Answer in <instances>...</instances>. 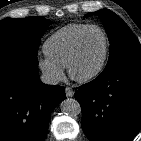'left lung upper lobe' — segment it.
Instances as JSON below:
<instances>
[{
    "label": "left lung upper lobe",
    "instance_id": "left-lung-upper-lobe-1",
    "mask_svg": "<svg viewBox=\"0 0 141 141\" xmlns=\"http://www.w3.org/2000/svg\"><path fill=\"white\" fill-rule=\"evenodd\" d=\"M98 15L110 40V55L105 68L128 60H141V46L127 24L114 12L101 9L86 16ZM85 16V17H86Z\"/></svg>",
    "mask_w": 141,
    "mask_h": 141
}]
</instances>
